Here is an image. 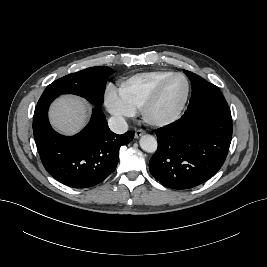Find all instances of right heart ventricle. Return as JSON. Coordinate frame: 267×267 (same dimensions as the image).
Masks as SVG:
<instances>
[{
	"label": "right heart ventricle",
	"mask_w": 267,
	"mask_h": 267,
	"mask_svg": "<svg viewBox=\"0 0 267 267\" xmlns=\"http://www.w3.org/2000/svg\"><path fill=\"white\" fill-rule=\"evenodd\" d=\"M172 73L171 71H150L135 74L119 83L117 93L135 112L141 109L158 83Z\"/></svg>",
	"instance_id": "e07e8e85"
}]
</instances>
